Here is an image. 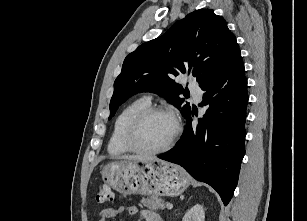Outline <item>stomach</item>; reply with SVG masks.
Segmentation results:
<instances>
[{
    "label": "stomach",
    "mask_w": 307,
    "mask_h": 221,
    "mask_svg": "<svg viewBox=\"0 0 307 221\" xmlns=\"http://www.w3.org/2000/svg\"><path fill=\"white\" fill-rule=\"evenodd\" d=\"M105 183L124 195L177 196L190 184L185 171L161 161H115L101 171Z\"/></svg>",
    "instance_id": "stomach-1"
}]
</instances>
